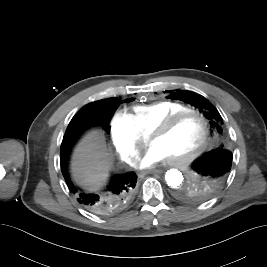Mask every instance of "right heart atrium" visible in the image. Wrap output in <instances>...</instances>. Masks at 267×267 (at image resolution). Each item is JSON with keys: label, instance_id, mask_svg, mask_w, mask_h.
Segmentation results:
<instances>
[{"label": "right heart atrium", "instance_id": "1", "mask_svg": "<svg viewBox=\"0 0 267 267\" xmlns=\"http://www.w3.org/2000/svg\"><path fill=\"white\" fill-rule=\"evenodd\" d=\"M113 145L120 158L133 165L139 156L144 142L142 134L136 129L127 114L116 112L110 122Z\"/></svg>", "mask_w": 267, "mask_h": 267}]
</instances>
